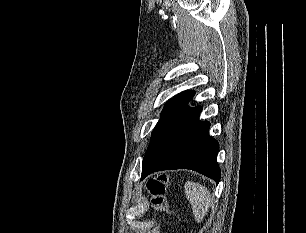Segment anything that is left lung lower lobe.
<instances>
[{
  "label": "left lung lower lobe",
  "instance_id": "0a47b994",
  "mask_svg": "<svg viewBox=\"0 0 306 233\" xmlns=\"http://www.w3.org/2000/svg\"><path fill=\"white\" fill-rule=\"evenodd\" d=\"M201 111L194 107L159 140L143 161L141 179L161 170L192 169L219 183V144L209 136L210 123L199 121Z\"/></svg>",
  "mask_w": 306,
  "mask_h": 233
}]
</instances>
